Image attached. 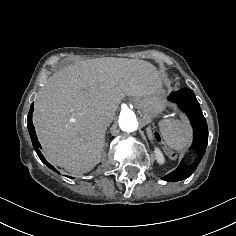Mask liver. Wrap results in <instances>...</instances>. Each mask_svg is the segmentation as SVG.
Masks as SVG:
<instances>
[{
    "mask_svg": "<svg viewBox=\"0 0 236 236\" xmlns=\"http://www.w3.org/2000/svg\"><path fill=\"white\" fill-rule=\"evenodd\" d=\"M161 88L150 63L103 57L68 65L40 91L34 125L47 159L70 173L100 163L105 132L126 96L142 101Z\"/></svg>",
    "mask_w": 236,
    "mask_h": 236,
    "instance_id": "1",
    "label": "liver"
}]
</instances>
